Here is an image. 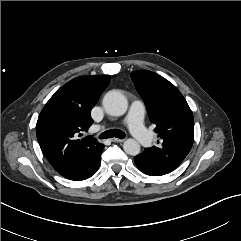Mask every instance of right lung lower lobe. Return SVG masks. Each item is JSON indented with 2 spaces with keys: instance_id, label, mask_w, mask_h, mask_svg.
<instances>
[{
  "instance_id": "1",
  "label": "right lung lower lobe",
  "mask_w": 241,
  "mask_h": 241,
  "mask_svg": "<svg viewBox=\"0 0 241 241\" xmlns=\"http://www.w3.org/2000/svg\"><path fill=\"white\" fill-rule=\"evenodd\" d=\"M102 149L93 159L80 163L78 166L74 167L62 176L74 181L85 180L93 176L100 165V156L102 153Z\"/></svg>"
}]
</instances>
